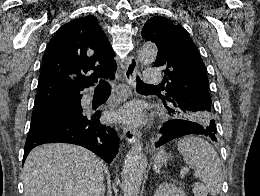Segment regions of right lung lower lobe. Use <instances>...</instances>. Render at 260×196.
<instances>
[{"label":"right lung lower lobe","instance_id":"1","mask_svg":"<svg viewBox=\"0 0 260 196\" xmlns=\"http://www.w3.org/2000/svg\"><path fill=\"white\" fill-rule=\"evenodd\" d=\"M82 95L67 98L57 102V108L66 110H82L80 100ZM100 111L87 113L83 117L49 125L28 133L23 162L29 152L44 143H71L83 146L111 163L118 151L119 138L116 131L100 123Z\"/></svg>","mask_w":260,"mask_h":196}]
</instances>
